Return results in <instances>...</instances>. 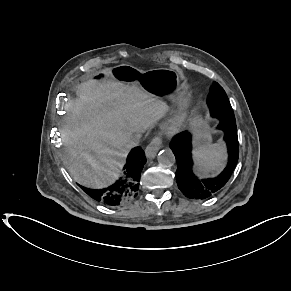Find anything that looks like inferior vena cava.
<instances>
[{
	"label": "inferior vena cava",
	"instance_id": "inferior-vena-cava-1",
	"mask_svg": "<svg viewBox=\"0 0 291 291\" xmlns=\"http://www.w3.org/2000/svg\"><path fill=\"white\" fill-rule=\"evenodd\" d=\"M139 142H140V136L137 134H132L127 139V144L130 148L137 146L139 144Z\"/></svg>",
	"mask_w": 291,
	"mask_h": 291
}]
</instances>
